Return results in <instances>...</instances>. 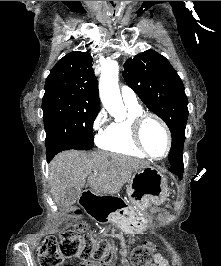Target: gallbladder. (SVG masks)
Returning a JSON list of instances; mask_svg holds the SVG:
<instances>
[{
	"instance_id": "1",
	"label": "gallbladder",
	"mask_w": 221,
	"mask_h": 266,
	"mask_svg": "<svg viewBox=\"0 0 221 266\" xmlns=\"http://www.w3.org/2000/svg\"><path fill=\"white\" fill-rule=\"evenodd\" d=\"M80 195L81 189L69 188L61 197V203L66 206L72 205L79 199Z\"/></svg>"
}]
</instances>
